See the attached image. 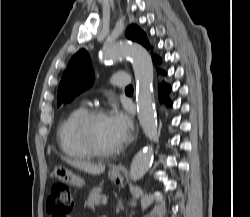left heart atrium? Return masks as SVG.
<instances>
[{"instance_id":"1","label":"left heart atrium","mask_w":250,"mask_h":217,"mask_svg":"<svg viewBox=\"0 0 250 217\" xmlns=\"http://www.w3.org/2000/svg\"><path fill=\"white\" fill-rule=\"evenodd\" d=\"M108 121L119 144L126 142L132 131L130 117L118 108H114L108 115Z\"/></svg>"}]
</instances>
